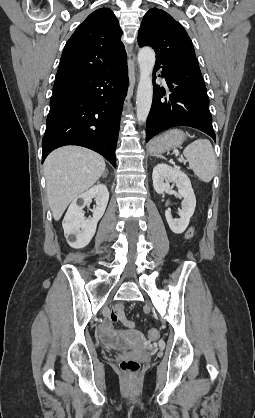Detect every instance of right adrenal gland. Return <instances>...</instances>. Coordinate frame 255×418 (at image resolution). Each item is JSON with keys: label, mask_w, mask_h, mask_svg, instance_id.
I'll return each instance as SVG.
<instances>
[{"label": "right adrenal gland", "mask_w": 255, "mask_h": 418, "mask_svg": "<svg viewBox=\"0 0 255 418\" xmlns=\"http://www.w3.org/2000/svg\"><path fill=\"white\" fill-rule=\"evenodd\" d=\"M106 172L108 173V170L106 169V171L103 174V177H106Z\"/></svg>", "instance_id": "2a0ac1e0"}]
</instances>
